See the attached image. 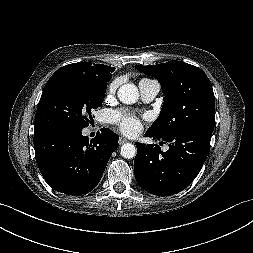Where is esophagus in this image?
<instances>
[{
  "instance_id": "esophagus-1",
  "label": "esophagus",
  "mask_w": 253,
  "mask_h": 253,
  "mask_svg": "<svg viewBox=\"0 0 253 253\" xmlns=\"http://www.w3.org/2000/svg\"><path fill=\"white\" fill-rule=\"evenodd\" d=\"M126 142H128L127 139H125V138H123V137H120V138H119V144H120V145H122V144H124V143H126Z\"/></svg>"
}]
</instances>
